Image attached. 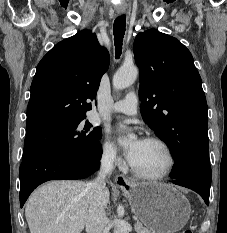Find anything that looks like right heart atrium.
Returning a JSON list of instances; mask_svg holds the SVG:
<instances>
[{
	"label": "right heart atrium",
	"instance_id": "obj_1",
	"mask_svg": "<svg viewBox=\"0 0 227 233\" xmlns=\"http://www.w3.org/2000/svg\"><path fill=\"white\" fill-rule=\"evenodd\" d=\"M100 159L102 164L109 168L121 164V159L117 154L116 148L109 140H105L102 144Z\"/></svg>",
	"mask_w": 227,
	"mask_h": 233
}]
</instances>
